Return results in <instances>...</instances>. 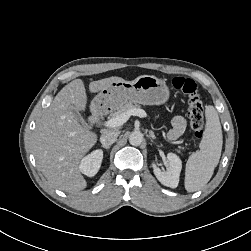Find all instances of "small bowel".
Returning a JSON list of instances; mask_svg holds the SVG:
<instances>
[{
  "mask_svg": "<svg viewBox=\"0 0 251 251\" xmlns=\"http://www.w3.org/2000/svg\"><path fill=\"white\" fill-rule=\"evenodd\" d=\"M186 120L183 116H176L172 121V128L168 133L171 140L177 139L185 130Z\"/></svg>",
  "mask_w": 251,
  "mask_h": 251,
  "instance_id": "obj_1",
  "label": "small bowel"
}]
</instances>
